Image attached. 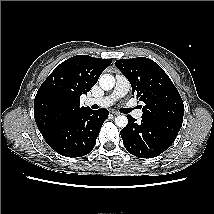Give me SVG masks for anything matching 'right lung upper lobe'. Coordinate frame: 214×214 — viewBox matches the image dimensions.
<instances>
[{
    "mask_svg": "<svg viewBox=\"0 0 214 214\" xmlns=\"http://www.w3.org/2000/svg\"><path fill=\"white\" fill-rule=\"evenodd\" d=\"M111 62L77 55L53 70L34 100L35 121L43 137L70 117L90 109L80 106V96L90 91Z\"/></svg>",
    "mask_w": 214,
    "mask_h": 214,
    "instance_id": "cb5924a9",
    "label": "right lung upper lobe"
}]
</instances>
